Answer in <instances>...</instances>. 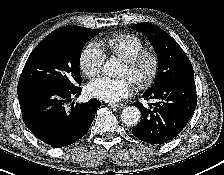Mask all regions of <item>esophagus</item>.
<instances>
[{
    "instance_id": "1",
    "label": "esophagus",
    "mask_w": 224,
    "mask_h": 175,
    "mask_svg": "<svg viewBox=\"0 0 224 175\" xmlns=\"http://www.w3.org/2000/svg\"><path fill=\"white\" fill-rule=\"evenodd\" d=\"M111 108H114V109H122L125 105L123 103H117V104H114V103H110L108 104Z\"/></svg>"
}]
</instances>
